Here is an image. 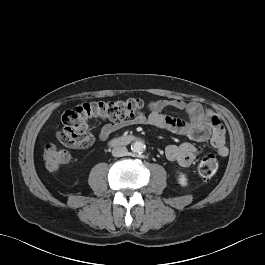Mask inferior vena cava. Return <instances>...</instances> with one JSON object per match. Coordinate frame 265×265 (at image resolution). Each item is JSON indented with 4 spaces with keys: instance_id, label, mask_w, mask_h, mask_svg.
<instances>
[{
    "instance_id": "obj_1",
    "label": "inferior vena cava",
    "mask_w": 265,
    "mask_h": 265,
    "mask_svg": "<svg viewBox=\"0 0 265 265\" xmlns=\"http://www.w3.org/2000/svg\"><path fill=\"white\" fill-rule=\"evenodd\" d=\"M127 153H128V150L124 146H116L112 149V155L114 157H123L127 155Z\"/></svg>"
}]
</instances>
